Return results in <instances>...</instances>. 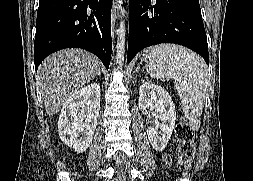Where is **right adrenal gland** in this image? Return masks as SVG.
I'll use <instances>...</instances> for the list:
<instances>
[{"label": "right adrenal gland", "mask_w": 253, "mask_h": 181, "mask_svg": "<svg viewBox=\"0 0 253 181\" xmlns=\"http://www.w3.org/2000/svg\"><path fill=\"white\" fill-rule=\"evenodd\" d=\"M98 76H101V71L98 72Z\"/></svg>", "instance_id": "2a0ac1e0"}]
</instances>
